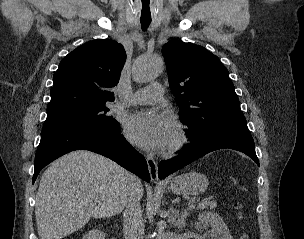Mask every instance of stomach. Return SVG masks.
Masks as SVG:
<instances>
[{
    "label": "stomach",
    "mask_w": 304,
    "mask_h": 239,
    "mask_svg": "<svg viewBox=\"0 0 304 239\" xmlns=\"http://www.w3.org/2000/svg\"><path fill=\"white\" fill-rule=\"evenodd\" d=\"M208 184L204 174L193 171L174 177L168 189L174 194L198 195L207 189Z\"/></svg>",
    "instance_id": "1"
}]
</instances>
